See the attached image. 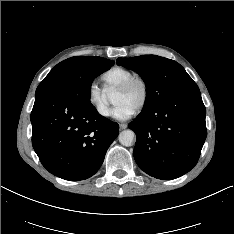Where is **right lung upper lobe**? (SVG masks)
Returning a JSON list of instances; mask_svg holds the SVG:
<instances>
[{"instance_id":"cb5924a9","label":"right lung upper lobe","mask_w":234,"mask_h":234,"mask_svg":"<svg viewBox=\"0 0 234 234\" xmlns=\"http://www.w3.org/2000/svg\"><path fill=\"white\" fill-rule=\"evenodd\" d=\"M87 59L90 60H100L103 59L102 57H96V56H85ZM110 61V60H109ZM113 63V61H111ZM114 64V63H113Z\"/></svg>"}]
</instances>
